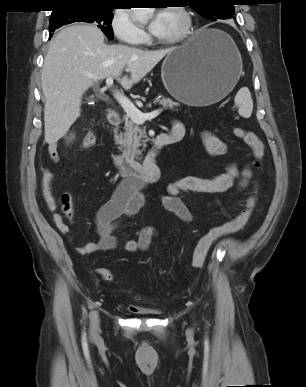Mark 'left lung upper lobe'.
<instances>
[{
  "label": "left lung upper lobe",
  "mask_w": 306,
  "mask_h": 387,
  "mask_svg": "<svg viewBox=\"0 0 306 387\" xmlns=\"http://www.w3.org/2000/svg\"><path fill=\"white\" fill-rule=\"evenodd\" d=\"M190 6L210 20L229 19L235 12L233 0H189Z\"/></svg>",
  "instance_id": "left-lung-upper-lobe-1"
}]
</instances>
